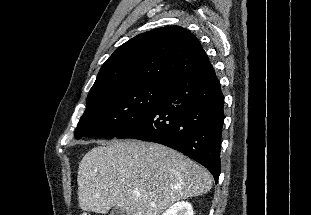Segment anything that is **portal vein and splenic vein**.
I'll return each instance as SVG.
<instances>
[{
  "mask_svg": "<svg viewBox=\"0 0 311 215\" xmlns=\"http://www.w3.org/2000/svg\"><path fill=\"white\" fill-rule=\"evenodd\" d=\"M140 195V193L139 192H136V196H139Z\"/></svg>",
  "mask_w": 311,
  "mask_h": 215,
  "instance_id": "obj_1",
  "label": "portal vein and splenic vein"
}]
</instances>
